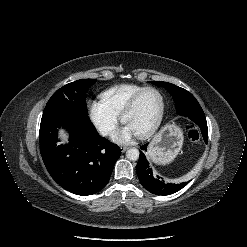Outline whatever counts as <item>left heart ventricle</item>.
Wrapping results in <instances>:
<instances>
[{
	"instance_id": "left-heart-ventricle-1",
	"label": "left heart ventricle",
	"mask_w": 247,
	"mask_h": 247,
	"mask_svg": "<svg viewBox=\"0 0 247 247\" xmlns=\"http://www.w3.org/2000/svg\"><path fill=\"white\" fill-rule=\"evenodd\" d=\"M161 109L160 97L153 91L144 93L135 108L125 118V124L136 133L146 131L157 120Z\"/></svg>"
}]
</instances>
